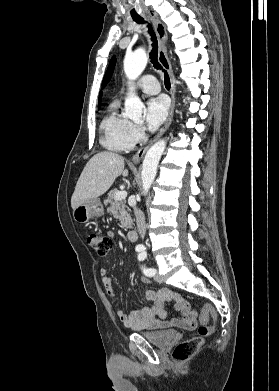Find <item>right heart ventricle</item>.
<instances>
[{"mask_svg":"<svg viewBox=\"0 0 279 391\" xmlns=\"http://www.w3.org/2000/svg\"><path fill=\"white\" fill-rule=\"evenodd\" d=\"M132 123L119 113V103L110 104L100 129L102 145L112 151H127L133 148L135 141L131 138Z\"/></svg>","mask_w":279,"mask_h":391,"instance_id":"1","label":"right heart ventricle"}]
</instances>
